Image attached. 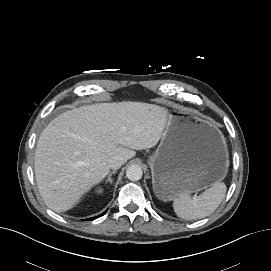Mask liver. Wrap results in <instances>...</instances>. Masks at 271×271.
Instances as JSON below:
<instances>
[{
    "mask_svg": "<svg viewBox=\"0 0 271 271\" xmlns=\"http://www.w3.org/2000/svg\"><path fill=\"white\" fill-rule=\"evenodd\" d=\"M169 119L160 106L120 102L83 106L53 119L35 150V176L45 204L65 212L109 173L108 160L157 145Z\"/></svg>",
    "mask_w": 271,
    "mask_h": 271,
    "instance_id": "6515ba94",
    "label": "liver"
}]
</instances>
